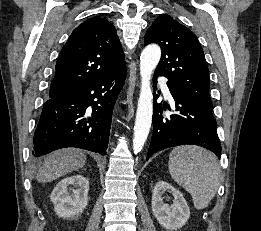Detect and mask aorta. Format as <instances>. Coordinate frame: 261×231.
<instances>
[{"label": "aorta", "mask_w": 261, "mask_h": 231, "mask_svg": "<svg viewBox=\"0 0 261 231\" xmlns=\"http://www.w3.org/2000/svg\"><path fill=\"white\" fill-rule=\"evenodd\" d=\"M160 57L161 49L158 45H148L140 56L141 89L133 137V151L135 154L142 150L150 131L153 114L151 75L158 65Z\"/></svg>", "instance_id": "1"}]
</instances>
